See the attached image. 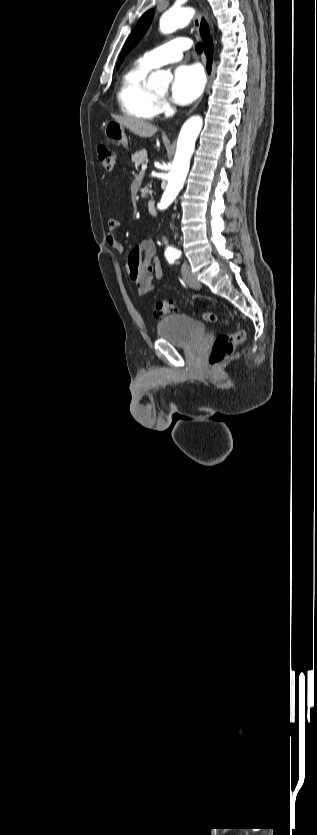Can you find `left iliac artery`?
<instances>
[{
	"instance_id": "left-iliac-artery-1",
	"label": "left iliac artery",
	"mask_w": 317,
	"mask_h": 835,
	"mask_svg": "<svg viewBox=\"0 0 317 835\" xmlns=\"http://www.w3.org/2000/svg\"><path fill=\"white\" fill-rule=\"evenodd\" d=\"M180 255H181V251H175V252L172 254V257H173V258H179V256H180Z\"/></svg>"
}]
</instances>
